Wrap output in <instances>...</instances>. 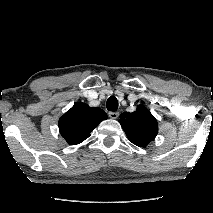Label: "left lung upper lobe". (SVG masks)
<instances>
[{"label":"left lung upper lobe","instance_id":"left-lung-upper-lobe-1","mask_svg":"<svg viewBox=\"0 0 213 213\" xmlns=\"http://www.w3.org/2000/svg\"><path fill=\"white\" fill-rule=\"evenodd\" d=\"M119 122L130 142L139 147H146L158 134L157 120L141 105L132 113H122Z\"/></svg>","mask_w":213,"mask_h":213}]
</instances>
